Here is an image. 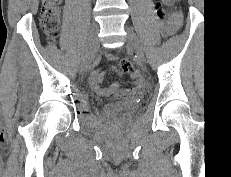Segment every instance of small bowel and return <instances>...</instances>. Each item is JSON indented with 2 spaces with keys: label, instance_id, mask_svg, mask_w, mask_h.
<instances>
[{
  "label": "small bowel",
  "instance_id": "small-bowel-1",
  "mask_svg": "<svg viewBox=\"0 0 231 177\" xmlns=\"http://www.w3.org/2000/svg\"><path fill=\"white\" fill-rule=\"evenodd\" d=\"M177 24V20L175 18L169 20L168 22L164 23L162 25V30L165 34L170 33L174 27ZM107 58L110 60H114L116 59V57L114 55L108 54ZM134 77L137 78V74H134ZM104 79V73L99 71V70H94L90 77H89V84L90 87L98 94L100 95H109L114 93L115 91H117L120 87L119 83H113L111 86L109 87H103L102 81ZM143 85L142 84H138L137 87L135 88V91L140 92L143 90Z\"/></svg>",
  "mask_w": 231,
  "mask_h": 177
}]
</instances>
